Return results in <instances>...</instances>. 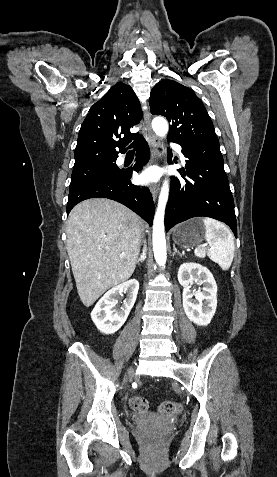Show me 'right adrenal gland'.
I'll return each instance as SVG.
<instances>
[{"mask_svg":"<svg viewBox=\"0 0 277 477\" xmlns=\"http://www.w3.org/2000/svg\"><path fill=\"white\" fill-rule=\"evenodd\" d=\"M146 257H147V247H146V244H144L143 252L141 256L138 258L136 263L139 265L140 263L145 261Z\"/></svg>","mask_w":277,"mask_h":477,"instance_id":"2a0ac1e0","label":"right adrenal gland"}]
</instances>
